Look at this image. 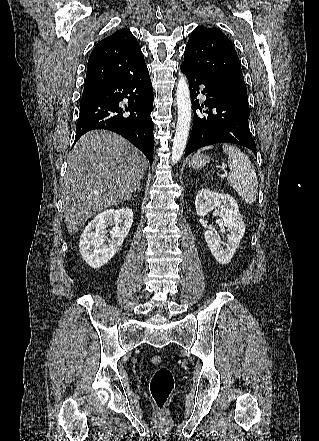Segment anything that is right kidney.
Masks as SVG:
<instances>
[{"label":"right kidney","mask_w":319,"mask_h":441,"mask_svg":"<svg viewBox=\"0 0 319 441\" xmlns=\"http://www.w3.org/2000/svg\"><path fill=\"white\" fill-rule=\"evenodd\" d=\"M133 222V211L129 208L110 209L98 214L84 229L79 243L83 259L92 268H100L116 254L122 246ZM111 239L106 240L107 227Z\"/></svg>","instance_id":"ca27d5eb"}]
</instances>
